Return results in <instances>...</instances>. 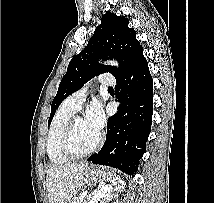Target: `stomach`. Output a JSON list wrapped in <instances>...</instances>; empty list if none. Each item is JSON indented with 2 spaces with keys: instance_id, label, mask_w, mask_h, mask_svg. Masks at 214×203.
<instances>
[{
  "instance_id": "stomach-1",
  "label": "stomach",
  "mask_w": 214,
  "mask_h": 203,
  "mask_svg": "<svg viewBox=\"0 0 214 203\" xmlns=\"http://www.w3.org/2000/svg\"><path fill=\"white\" fill-rule=\"evenodd\" d=\"M84 181L88 184L100 182L112 186L116 178L114 172L110 169L91 166L86 168L84 172Z\"/></svg>"
}]
</instances>
